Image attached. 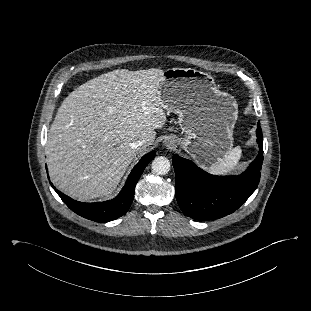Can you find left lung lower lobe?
Instances as JSON below:
<instances>
[{
    "mask_svg": "<svg viewBox=\"0 0 311 311\" xmlns=\"http://www.w3.org/2000/svg\"><path fill=\"white\" fill-rule=\"evenodd\" d=\"M257 125L259 154L239 176H213L192 161L173 156L176 175V198L182 212L196 220L222 218L237 210L255 191L263 162V135Z\"/></svg>",
    "mask_w": 311,
    "mask_h": 311,
    "instance_id": "left-lung-lower-lobe-1",
    "label": "left lung lower lobe"
}]
</instances>
